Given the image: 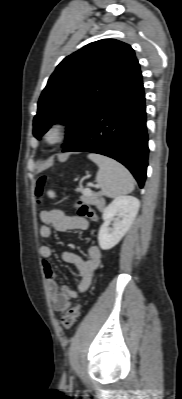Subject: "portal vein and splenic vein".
<instances>
[{
    "label": "portal vein and splenic vein",
    "mask_w": 182,
    "mask_h": 399,
    "mask_svg": "<svg viewBox=\"0 0 182 399\" xmlns=\"http://www.w3.org/2000/svg\"><path fill=\"white\" fill-rule=\"evenodd\" d=\"M84 193L87 194V195H90V194H91V190H90V189H86V190L84 191Z\"/></svg>",
    "instance_id": "18ae733b"
}]
</instances>
